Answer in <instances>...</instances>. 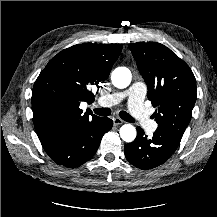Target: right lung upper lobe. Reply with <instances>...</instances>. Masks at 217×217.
<instances>
[{
  "label": "right lung upper lobe",
  "mask_w": 217,
  "mask_h": 217,
  "mask_svg": "<svg viewBox=\"0 0 217 217\" xmlns=\"http://www.w3.org/2000/svg\"><path fill=\"white\" fill-rule=\"evenodd\" d=\"M122 44H77L54 56L40 73L32 90L33 122L40 141L77 130L97 119L82 113V101H94L89 90L107 79Z\"/></svg>",
  "instance_id": "1"
}]
</instances>
